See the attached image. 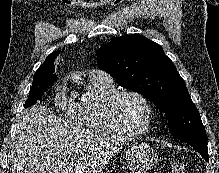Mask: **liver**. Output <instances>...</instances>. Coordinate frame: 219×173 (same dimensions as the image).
I'll use <instances>...</instances> for the list:
<instances>
[{"instance_id":"6515ba94","label":"liver","mask_w":219,"mask_h":173,"mask_svg":"<svg viewBox=\"0 0 219 173\" xmlns=\"http://www.w3.org/2000/svg\"><path fill=\"white\" fill-rule=\"evenodd\" d=\"M124 143L70 125L36 104L18 116L8 160L11 173H100Z\"/></svg>"}]
</instances>
